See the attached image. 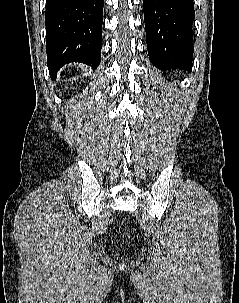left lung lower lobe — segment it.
<instances>
[{
	"instance_id": "obj_1",
	"label": "left lung lower lobe",
	"mask_w": 239,
	"mask_h": 303,
	"mask_svg": "<svg viewBox=\"0 0 239 303\" xmlns=\"http://www.w3.org/2000/svg\"><path fill=\"white\" fill-rule=\"evenodd\" d=\"M149 60L161 70L191 72L193 0H143Z\"/></svg>"
}]
</instances>
